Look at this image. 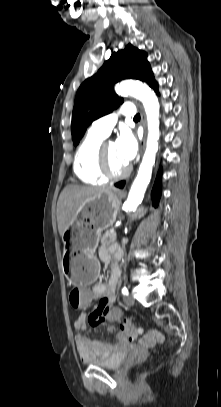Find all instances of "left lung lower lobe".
I'll return each mask as SVG.
<instances>
[{"instance_id":"0a47b994","label":"left lung lower lobe","mask_w":221,"mask_h":407,"mask_svg":"<svg viewBox=\"0 0 221 407\" xmlns=\"http://www.w3.org/2000/svg\"><path fill=\"white\" fill-rule=\"evenodd\" d=\"M152 88L156 91L157 94H159L157 83ZM161 175H162V171L160 169L159 172H158V175H157V178H156L152 193H151L152 198L154 200L153 205L155 207L157 206V202H158V200L160 198V195H161ZM124 184H125V182L122 181V182L116 183L115 186L119 187V188H123Z\"/></svg>"}]
</instances>
